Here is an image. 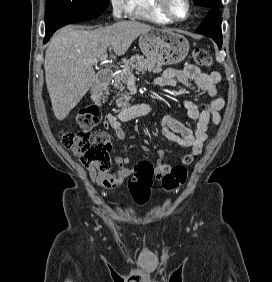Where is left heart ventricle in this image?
Returning a JSON list of instances; mask_svg holds the SVG:
<instances>
[{"instance_id": "left-heart-ventricle-1", "label": "left heart ventricle", "mask_w": 272, "mask_h": 282, "mask_svg": "<svg viewBox=\"0 0 272 282\" xmlns=\"http://www.w3.org/2000/svg\"><path fill=\"white\" fill-rule=\"evenodd\" d=\"M169 7L175 16L184 17L186 14L184 0H169Z\"/></svg>"}]
</instances>
